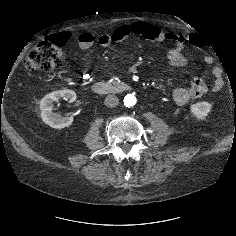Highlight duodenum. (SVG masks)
I'll return each mask as SVG.
<instances>
[{"label":"duodenum","mask_w":236,"mask_h":236,"mask_svg":"<svg viewBox=\"0 0 236 236\" xmlns=\"http://www.w3.org/2000/svg\"><path fill=\"white\" fill-rule=\"evenodd\" d=\"M130 88L131 86L124 82L97 81L92 85V91L99 95L122 93Z\"/></svg>","instance_id":"obj_1"}]
</instances>
